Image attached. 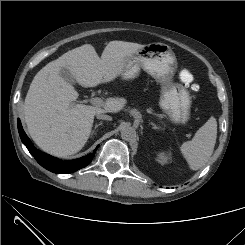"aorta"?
Here are the masks:
<instances>
[{"mask_svg":"<svg viewBox=\"0 0 245 245\" xmlns=\"http://www.w3.org/2000/svg\"><path fill=\"white\" fill-rule=\"evenodd\" d=\"M121 137L125 141H132L136 138V130L132 126H124L121 130Z\"/></svg>","mask_w":245,"mask_h":245,"instance_id":"762f6f07","label":"aorta"}]
</instances>
